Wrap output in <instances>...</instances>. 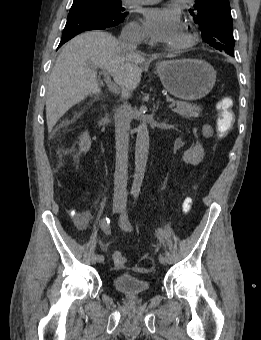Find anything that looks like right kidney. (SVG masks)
Wrapping results in <instances>:
<instances>
[{"label":"right kidney","instance_id":"1","mask_svg":"<svg viewBox=\"0 0 261 340\" xmlns=\"http://www.w3.org/2000/svg\"><path fill=\"white\" fill-rule=\"evenodd\" d=\"M79 150L80 152L86 153L89 151L91 147V140L89 137V133L85 131L80 137H79Z\"/></svg>","mask_w":261,"mask_h":340}]
</instances>
